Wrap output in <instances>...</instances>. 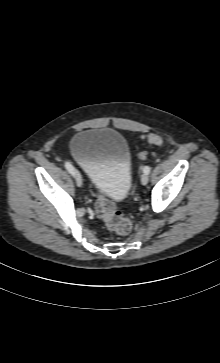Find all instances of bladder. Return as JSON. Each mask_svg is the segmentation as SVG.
I'll return each instance as SVG.
<instances>
[{
    "instance_id": "31cf9c89",
    "label": "bladder",
    "mask_w": 220,
    "mask_h": 363,
    "mask_svg": "<svg viewBox=\"0 0 220 363\" xmlns=\"http://www.w3.org/2000/svg\"><path fill=\"white\" fill-rule=\"evenodd\" d=\"M70 153L97 191L114 203L125 199L132 164L129 145L121 133L107 128L81 130L70 141Z\"/></svg>"
}]
</instances>
